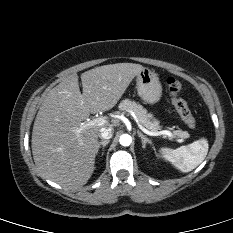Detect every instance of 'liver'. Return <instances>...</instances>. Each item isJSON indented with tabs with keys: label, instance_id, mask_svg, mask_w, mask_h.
Segmentation results:
<instances>
[{
	"label": "liver",
	"instance_id": "6515ba94",
	"mask_svg": "<svg viewBox=\"0 0 233 233\" xmlns=\"http://www.w3.org/2000/svg\"><path fill=\"white\" fill-rule=\"evenodd\" d=\"M144 67L116 63L64 78L51 89L36 115L32 131L34 162L45 178L68 188L85 185L95 167L99 131L106 123L77 132L90 113L112 109Z\"/></svg>",
	"mask_w": 233,
	"mask_h": 233
}]
</instances>
